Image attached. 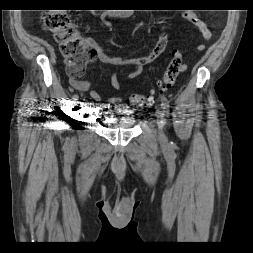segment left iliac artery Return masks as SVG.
<instances>
[{
	"label": "left iliac artery",
	"mask_w": 253,
	"mask_h": 253,
	"mask_svg": "<svg viewBox=\"0 0 253 253\" xmlns=\"http://www.w3.org/2000/svg\"><path fill=\"white\" fill-rule=\"evenodd\" d=\"M161 102H162L161 106L164 109L165 115L169 116V114H170L169 110H168V108H169V102H168L167 98L166 97H162Z\"/></svg>",
	"instance_id": "obj_1"
}]
</instances>
